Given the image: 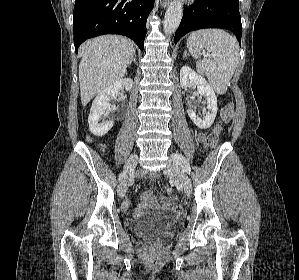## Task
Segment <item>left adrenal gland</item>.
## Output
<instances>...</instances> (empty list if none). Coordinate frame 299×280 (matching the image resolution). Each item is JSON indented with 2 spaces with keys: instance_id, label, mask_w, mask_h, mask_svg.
Listing matches in <instances>:
<instances>
[{
  "instance_id": "left-adrenal-gland-1",
  "label": "left adrenal gland",
  "mask_w": 299,
  "mask_h": 280,
  "mask_svg": "<svg viewBox=\"0 0 299 280\" xmlns=\"http://www.w3.org/2000/svg\"><path fill=\"white\" fill-rule=\"evenodd\" d=\"M187 51H184V55H183V58H186L187 57Z\"/></svg>"
}]
</instances>
